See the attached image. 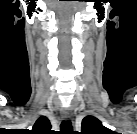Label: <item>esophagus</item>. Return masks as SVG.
<instances>
[{
	"label": "esophagus",
	"mask_w": 137,
	"mask_h": 134,
	"mask_svg": "<svg viewBox=\"0 0 137 134\" xmlns=\"http://www.w3.org/2000/svg\"><path fill=\"white\" fill-rule=\"evenodd\" d=\"M62 118L65 120V121H71L72 119V115H71V109L70 108H63L62 109Z\"/></svg>",
	"instance_id": "obj_1"
}]
</instances>
